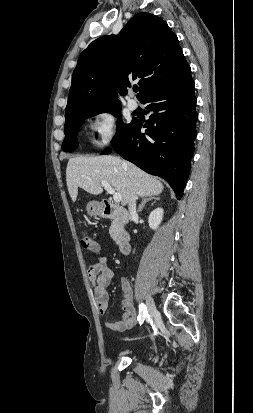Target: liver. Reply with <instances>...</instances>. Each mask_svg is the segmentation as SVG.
<instances>
[{
	"label": "liver",
	"instance_id": "liver-1",
	"mask_svg": "<svg viewBox=\"0 0 253 413\" xmlns=\"http://www.w3.org/2000/svg\"><path fill=\"white\" fill-rule=\"evenodd\" d=\"M102 181L108 182L121 194L123 206L128 204L133 193L136 196L151 197L163 191V184L131 162L115 156H79L70 158L66 168V182L73 202L78 188L98 195L103 192Z\"/></svg>",
	"mask_w": 253,
	"mask_h": 413
}]
</instances>
